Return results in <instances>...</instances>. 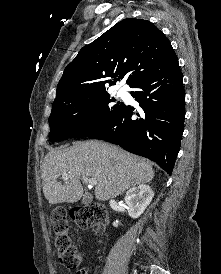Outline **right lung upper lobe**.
I'll use <instances>...</instances> for the list:
<instances>
[{
    "label": "right lung upper lobe",
    "instance_id": "cb5924a9",
    "mask_svg": "<svg viewBox=\"0 0 221 274\" xmlns=\"http://www.w3.org/2000/svg\"><path fill=\"white\" fill-rule=\"evenodd\" d=\"M177 59L171 43L154 24L124 19L79 51L64 70L53 104L107 93L106 85L126 75L133 88Z\"/></svg>",
    "mask_w": 221,
    "mask_h": 274
}]
</instances>
